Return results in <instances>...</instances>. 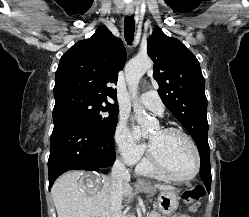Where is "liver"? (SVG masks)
<instances>
[{
  "instance_id": "liver-1",
  "label": "liver",
  "mask_w": 249,
  "mask_h": 217,
  "mask_svg": "<svg viewBox=\"0 0 249 217\" xmlns=\"http://www.w3.org/2000/svg\"><path fill=\"white\" fill-rule=\"evenodd\" d=\"M80 180V182H78ZM86 179V185L83 180ZM111 178L99 173L72 171L59 177L51 193L58 217H121V209L110 202ZM159 190H172L168 185L156 184ZM126 181L122 197L131 195Z\"/></svg>"
}]
</instances>
